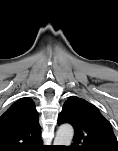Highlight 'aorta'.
I'll list each match as a JSON object with an SVG mask.
<instances>
[{
  "instance_id": "obj_1",
  "label": "aorta",
  "mask_w": 118,
  "mask_h": 151,
  "mask_svg": "<svg viewBox=\"0 0 118 151\" xmlns=\"http://www.w3.org/2000/svg\"><path fill=\"white\" fill-rule=\"evenodd\" d=\"M74 136V129L69 124H64L59 127L56 132L54 145L70 146Z\"/></svg>"
}]
</instances>
